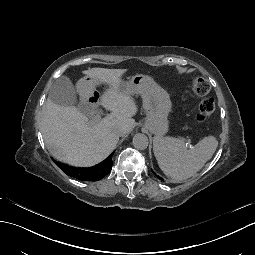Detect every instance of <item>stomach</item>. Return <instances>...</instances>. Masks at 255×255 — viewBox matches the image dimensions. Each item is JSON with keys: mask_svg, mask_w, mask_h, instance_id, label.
I'll use <instances>...</instances> for the list:
<instances>
[{"mask_svg": "<svg viewBox=\"0 0 255 255\" xmlns=\"http://www.w3.org/2000/svg\"><path fill=\"white\" fill-rule=\"evenodd\" d=\"M126 91L130 94H140L144 98L143 107L147 114L144 127L156 135L166 132L167 115L171 108L167 92L154 84L149 76L142 74L132 77L127 84Z\"/></svg>", "mask_w": 255, "mask_h": 255, "instance_id": "stomach-1", "label": "stomach"}]
</instances>
